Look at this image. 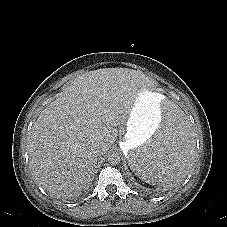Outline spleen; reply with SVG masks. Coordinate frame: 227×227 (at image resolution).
<instances>
[{
  "label": "spleen",
  "instance_id": "spleen-1",
  "mask_svg": "<svg viewBox=\"0 0 227 227\" xmlns=\"http://www.w3.org/2000/svg\"><path fill=\"white\" fill-rule=\"evenodd\" d=\"M155 124V133L129 151L126 162L139 179L166 188L176 186L189 174L195 145L188 114L174 101H167Z\"/></svg>",
  "mask_w": 227,
  "mask_h": 227
}]
</instances>
